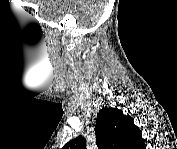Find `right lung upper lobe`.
<instances>
[{
  "label": "right lung upper lobe",
  "mask_w": 177,
  "mask_h": 149,
  "mask_svg": "<svg viewBox=\"0 0 177 149\" xmlns=\"http://www.w3.org/2000/svg\"><path fill=\"white\" fill-rule=\"evenodd\" d=\"M95 134L99 149H139L144 145L141 131L134 125L133 118L123 115L117 108L105 107L99 111ZM63 148L86 149V140L78 136Z\"/></svg>",
  "instance_id": "obj_1"
}]
</instances>
